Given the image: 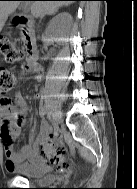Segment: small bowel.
Listing matches in <instances>:
<instances>
[{"mask_svg": "<svg viewBox=\"0 0 137 189\" xmlns=\"http://www.w3.org/2000/svg\"><path fill=\"white\" fill-rule=\"evenodd\" d=\"M24 74H31L33 79L40 82L43 79L42 69L27 67ZM28 112V104L20 93H16L14 103L0 100V138L4 146L5 169L8 172L26 173L43 164L42 148L48 143L54 146L55 135L43 124L39 130L32 127L31 144L24 145L19 150L13 147L14 139L20 135L21 126ZM57 147V146H56Z\"/></svg>", "mask_w": 137, "mask_h": 189, "instance_id": "obj_1", "label": "small bowel"}]
</instances>
